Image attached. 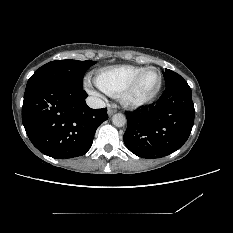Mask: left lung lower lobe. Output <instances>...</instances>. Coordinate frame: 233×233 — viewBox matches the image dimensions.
I'll list each match as a JSON object with an SVG mask.
<instances>
[{"mask_svg": "<svg viewBox=\"0 0 233 233\" xmlns=\"http://www.w3.org/2000/svg\"><path fill=\"white\" fill-rule=\"evenodd\" d=\"M194 116L191 88L184 79L178 80L149 108L126 113L124 143L141 158L169 155L187 141Z\"/></svg>", "mask_w": 233, "mask_h": 233, "instance_id": "left-lung-lower-lobe-1", "label": "left lung lower lobe"}]
</instances>
